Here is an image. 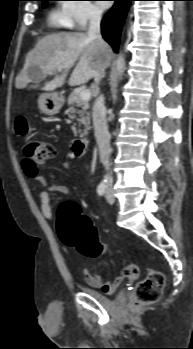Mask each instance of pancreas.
Returning a JSON list of instances; mask_svg holds the SVG:
<instances>
[{"label": "pancreas", "instance_id": "cf45deb5", "mask_svg": "<svg viewBox=\"0 0 193 349\" xmlns=\"http://www.w3.org/2000/svg\"><path fill=\"white\" fill-rule=\"evenodd\" d=\"M77 108H81L76 109ZM89 109V102L88 100H83L80 97V93L72 92L68 97V109L67 112L69 113V116L71 119H74L77 113L79 115V118H77V121L79 122V126L83 125L84 130L82 129H76L75 127L72 128L73 133L77 135L78 133H81L82 135H87L88 130H90V113L88 112Z\"/></svg>", "mask_w": 193, "mask_h": 349}]
</instances>
